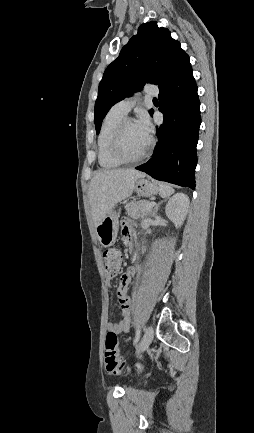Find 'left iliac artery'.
Instances as JSON below:
<instances>
[{
    "instance_id": "obj_1",
    "label": "left iliac artery",
    "mask_w": 254,
    "mask_h": 433,
    "mask_svg": "<svg viewBox=\"0 0 254 433\" xmlns=\"http://www.w3.org/2000/svg\"><path fill=\"white\" fill-rule=\"evenodd\" d=\"M139 338H140V329L138 328L137 332H136V336H135L134 342H133L134 345L139 341Z\"/></svg>"
}]
</instances>
